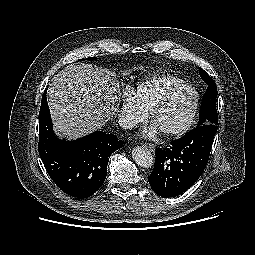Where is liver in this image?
I'll list each match as a JSON object with an SVG mask.
<instances>
[{
	"mask_svg": "<svg viewBox=\"0 0 255 255\" xmlns=\"http://www.w3.org/2000/svg\"><path fill=\"white\" fill-rule=\"evenodd\" d=\"M114 73L70 64L52 78L48 104L57 133L78 138L100 129L117 111L121 89Z\"/></svg>",
	"mask_w": 255,
	"mask_h": 255,
	"instance_id": "obj_1",
	"label": "liver"
}]
</instances>
